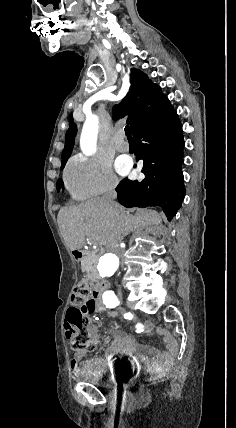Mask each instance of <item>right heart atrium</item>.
<instances>
[{
    "label": "right heart atrium",
    "instance_id": "d8ad5b80",
    "mask_svg": "<svg viewBox=\"0 0 236 428\" xmlns=\"http://www.w3.org/2000/svg\"><path fill=\"white\" fill-rule=\"evenodd\" d=\"M64 180L68 193L76 201L116 195L120 187V180L106 161L83 155L69 162Z\"/></svg>",
    "mask_w": 236,
    "mask_h": 428
}]
</instances>
